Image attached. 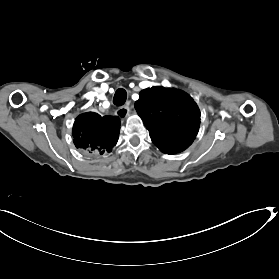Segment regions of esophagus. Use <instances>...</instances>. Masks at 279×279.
Returning a JSON list of instances; mask_svg holds the SVG:
<instances>
[{"label": "esophagus", "instance_id": "esophagus-1", "mask_svg": "<svg viewBox=\"0 0 279 279\" xmlns=\"http://www.w3.org/2000/svg\"><path fill=\"white\" fill-rule=\"evenodd\" d=\"M115 114L117 116H119L121 119L126 118L129 114V105H123V106L119 107L116 110Z\"/></svg>", "mask_w": 279, "mask_h": 279}]
</instances>
